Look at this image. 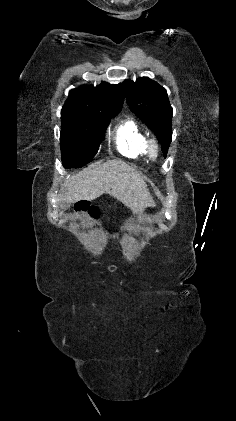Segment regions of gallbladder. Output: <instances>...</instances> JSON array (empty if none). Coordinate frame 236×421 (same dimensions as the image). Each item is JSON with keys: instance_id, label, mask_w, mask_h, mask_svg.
Returning a JSON list of instances; mask_svg holds the SVG:
<instances>
[{"instance_id": "bac80fb5", "label": "gallbladder", "mask_w": 236, "mask_h": 421, "mask_svg": "<svg viewBox=\"0 0 236 421\" xmlns=\"http://www.w3.org/2000/svg\"><path fill=\"white\" fill-rule=\"evenodd\" d=\"M71 202H67V200H60L59 206L62 208V211H66V208H69Z\"/></svg>"}]
</instances>
